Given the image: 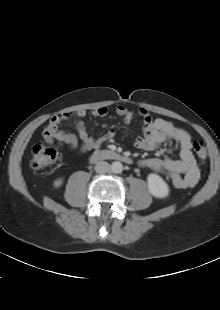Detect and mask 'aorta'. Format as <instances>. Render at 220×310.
<instances>
[{
    "label": "aorta",
    "instance_id": "1",
    "mask_svg": "<svg viewBox=\"0 0 220 310\" xmlns=\"http://www.w3.org/2000/svg\"><path fill=\"white\" fill-rule=\"evenodd\" d=\"M110 170L111 172L115 173V174H118V173H121L122 170H123V166L120 162L118 161H115L113 162L111 165H110Z\"/></svg>",
    "mask_w": 220,
    "mask_h": 310
}]
</instances>
